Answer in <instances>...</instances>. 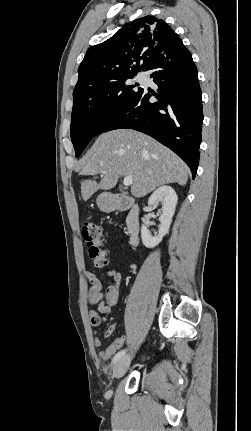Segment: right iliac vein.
<instances>
[{
  "mask_svg": "<svg viewBox=\"0 0 251 431\" xmlns=\"http://www.w3.org/2000/svg\"><path fill=\"white\" fill-rule=\"evenodd\" d=\"M130 362H131L130 356H125L119 359L113 367V377L115 379L121 378L126 373L130 365Z\"/></svg>",
  "mask_w": 251,
  "mask_h": 431,
  "instance_id": "1",
  "label": "right iliac vein"
}]
</instances>
